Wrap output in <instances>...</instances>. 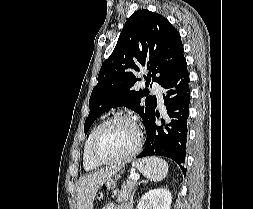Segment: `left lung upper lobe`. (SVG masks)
<instances>
[{"mask_svg":"<svg viewBox=\"0 0 253 209\" xmlns=\"http://www.w3.org/2000/svg\"><path fill=\"white\" fill-rule=\"evenodd\" d=\"M183 52L180 34L166 18L148 10L134 12L99 71L89 100L85 134L102 113L117 106L134 110L146 127L155 115L157 99L145 90H133V86L141 80L139 76L145 68L149 71L144 77L147 86L151 79L162 86L184 59ZM143 97L145 104L141 103Z\"/></svg>","mask_w":253,"mask_h":209,"instance_id":"left-lung-upper-lobe-1","label":"left lung upper lobe"}]
</instances>
